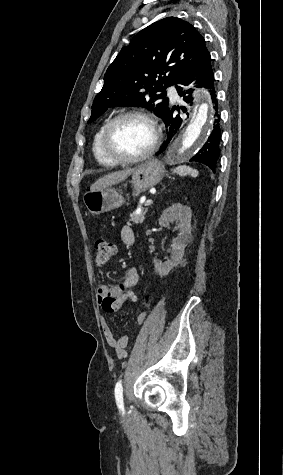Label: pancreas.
I'll return each mask as SVG.
<instances>
[{
  "label": "pancreas",
  "mask_w": 283,
  "mask_h": 475,
  "mask_svg": "<svg viewBox=\"0 0 283 475\" xmlns=\"http://www.w3.org/2000/svg\"><path fill=\"white\" fill-rule=\"evenodd\" d=\"M148 208H141V212L140 214H130V218L131 220H129V222H127V226H132V224H130V222H134V224H143L144 220H145V214L147 212Z\"/></svg>",
  "instance_id": "1"
}]
</instances>
